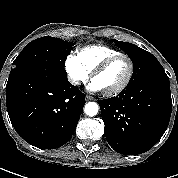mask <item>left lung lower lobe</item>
<instances>
[{
    "label": "left lung lower lobe",
    "instance_id": "obj_1",
    "mask_svg": "<svg viewBox=\"0 0 178 178\" xmlns=\"http://www.w3.org/2000/svg\"><path fill=\"white\" fill-rule=\"evenodd\" d=\"M98 103L109 145L121 154L144 153L168 127L172 110L169 78L126 86L116 97Z\"/></svg>",
    "mask_w": 178,
    "mask_h": 178
}]
</instances>
